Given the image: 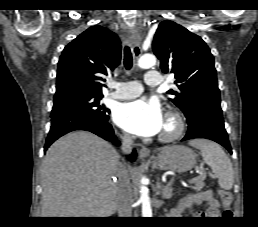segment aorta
I'll return each instance as SVG.
<instances>
[{"label": "aorta", "mask_w": 258, "mask_h": 227, "mask_svg": "<svg viewBox=\"0 0 258 227\" xmlns=\"http://www.w3.org/2000/svg\"><path fill=\"white\" fill-rule=\"evenodd\" d=\"M156 63V58L152 54H145L140 57L138 61V66L143 69L150 68L154 66ZM146 178L143 177L141 179V187H140V202L142 204V217H152V208L151 202L149 198V190L145 185Z\"/></svg>", "instance_id": "762f6f07"}]
</instances>
